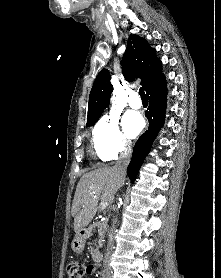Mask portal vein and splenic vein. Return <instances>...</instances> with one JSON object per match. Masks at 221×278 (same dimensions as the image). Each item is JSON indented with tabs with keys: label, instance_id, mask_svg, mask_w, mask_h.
I'll return each instance as SVG.
<instances>
[{
	"label": "portal vein and splenic vein",
	"instance_id": "1",
	"mask_svg": "<svg viewBox=\"0 0 221 278\" xmlns=\"http://www.w3.org/2000/svg\"><path fill=\"white\" fill-rule=\"evenodd\" d=\"M109 203L108 202H101L100 206H101V210H104L108 207Z\"/></svg>",
	"mask_w": 221,
	"mask_h": 278
}]
</instances>
